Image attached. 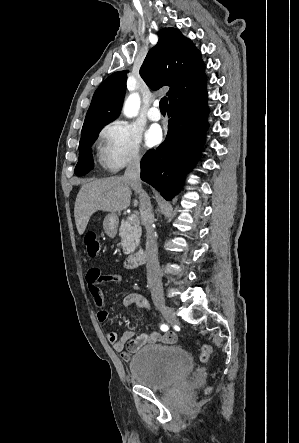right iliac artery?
<instances>
[{
	"instance_id": "1",
	"label": "right iliac artery",
	"mask_w": 299,
	"mask_h": 443,
	"mask_svg": "<svg viewBox=\"0 0 299 443\" xmlns=\"http://www.w3.org/2000/svg\"><path fill=\"white\" fill-rule=\"evenodd\" d=\"M160 328L162 331H167L169 329L168 325H166V324H162Z\"/></svg>"
}]
</instances>
